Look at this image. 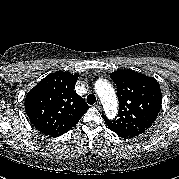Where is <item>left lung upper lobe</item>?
<instances>
[{
  "instance_id": "obj_1",
  "label": "left lung upper lobe",
  "mask_w": 179,
  "mask_h": 179,
  "mask_svg": "<svg viewBox=\"0 0 179 179\" xmlns=\"http://www.w3.org/2000/svg\"><path fill=\"white\" fill-rule=\"evenodd\" d=\"M117 85L119 112L114 120L102 115L108 128L129 139L145 132L155 121L162 103L159 83L153 77L131 71L111 73Z\"/></svg>"
}]
</instances>
